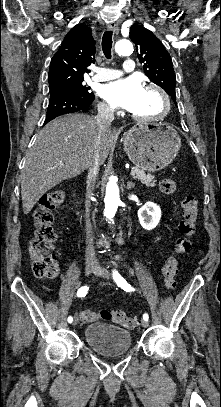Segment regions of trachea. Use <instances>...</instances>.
I'll return each mask as SVG.
<instances>
[{"label": "trachea", "instance_id": "obj_1", "mask_svg": "<svg viewBox=\"0 0 221 407\" xmlns=\"http://www.w3.org/2000/svg\"><path fill=\"white\" fill-rule=\"evenodd\" d=\"M112 49V31H106L102 38V50L106 58H111Z\"/></svg>", "mask_w": 221, "mask_h": 407}]
</instances>
